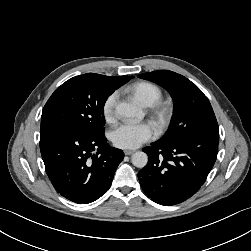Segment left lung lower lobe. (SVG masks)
I'll use <instances>...</instances> for the list:
<instances>
[{
  "instance_id": "left-lung-lower-lobe-1",
  "label": "left lung lower lobe",
  "mask_w": 251,
  "mask_h": 251,
  "mask_svg": "<svg viewBox=\"0 0 251 251\" xmlns=\"http://www.w3.org/2000/svg\"><path fill=\"white\" fill-rule=\"evenodd\" d=\"M219 136L198 135L176 143L156 141L143 149L148 164L138 178L144 192L161 205L193 196L206 181L217 157Z\"/></svg>"
}]
</instances>
